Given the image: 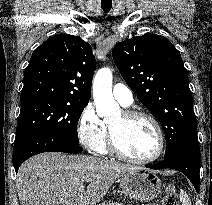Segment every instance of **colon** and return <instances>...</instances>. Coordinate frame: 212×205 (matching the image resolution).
Masks as SVG:
<instances>
[{
    "label": "colon",
    "mask_w": 212,
    "mask_h": 205,
    "mask_svg": "<svg viewBox=\"0 0 212 205\" xmlns=\"http://www.w3.org/2000/svg\"><path fill=\"white\" fill-rule=\"evenodd\" d=\"M162 205H180L177 192L173 186L169 185L165 189Z\"/></svg>",
    "instance_id": "1"
}]
</instances>
